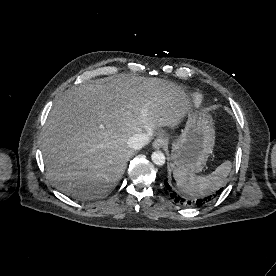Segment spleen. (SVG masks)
<instances>
[{"label":"spleen","mask_w":276,"mask_h":276,"mask_svg":"<svg viewBox=\"0 0 276 276\" xmlns=\"http://www.w3.org/2000/svg\"><path fill=\"white\" fill-rule=\"evenodd\" d=\"M232 164L224 161L215 171L206 176L174 170L173 175L178 188L191 197H201L210 194L224 186Z\"/></svg>","instance_id":"3e777b00"}]
</instances>
